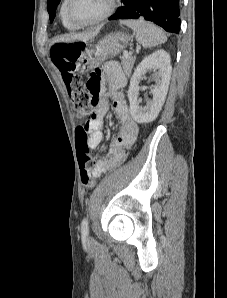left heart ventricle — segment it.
Listing matches in <instances>:
<instances>
[{"label": "left heart ventricle", "instance_id": "1", "mask_svg": "<svg viewBox=\"0 0 227 298\" xmlns=\"http://www.w3.org/2000/svg\"><path fill=\"white\" fill-rule=\"evenodd\" d=\"M107 7V0H72L70 13L77 22H87L100 16Z\"/></svg>", "mask_w": 227, "mask_h": 298}]
</instances>
